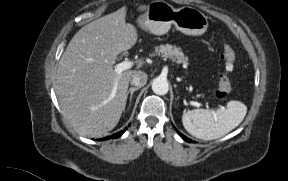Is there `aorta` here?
<instances>
[{"instance_id": "762f6f07", "label": "aorta", "mask_w": 288, "mask_h": 181, "mask_svg": "<svg viewBox=\"0 0 288 181\" xmlns=\"http://www.w3.org/2000/svg\"><path fill=\"white\" fill-rule=\"evenodd\" d=\"M152 90L157 95H165L169 90L168 82L165 78L157 77L152 82Z\"/></svg>"}]
</instances>
